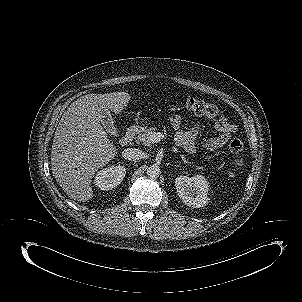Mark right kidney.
I'll use <instances>...</instances> for the list:
<instances>
[{
	"label": "right kidney",
	"mask_w": 302,
	"mask_h": 302,
	"mask_svg": "<svg viewBox=\"0 0 302 302\" xmlns=\"http://www.w3.org/2000/svg\"><path fill=\"white\" fill-rule=\"evenodd\" d=\"M125 168L117 167L114 170H101L96 174L95 185L101 190H111L118 186L125 177Z\"/></svg>",
	"instance_id": "right-kidney-1"
}]
</instances>
